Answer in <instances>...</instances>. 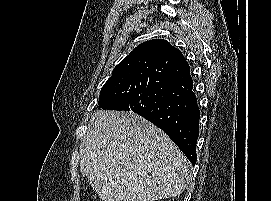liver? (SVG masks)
I'll return each mask as SVG.
<instances>
[{
    "label": "liver",
    "instance_id": "1",
    "mask_svg": "<svg viewBox=\"0 0 271 201\" xmlns=\"http://www.w3.org/2000/svg\"><path fill=\"white\" fill-rule=\"evenodd\" d=\"M80 171L103 201H156L185 190L189 163L138 114L98 111L88 124Z\"/></svg>",
    "mask_w": 271,
    "mask_h": 201
}]
</instances>
